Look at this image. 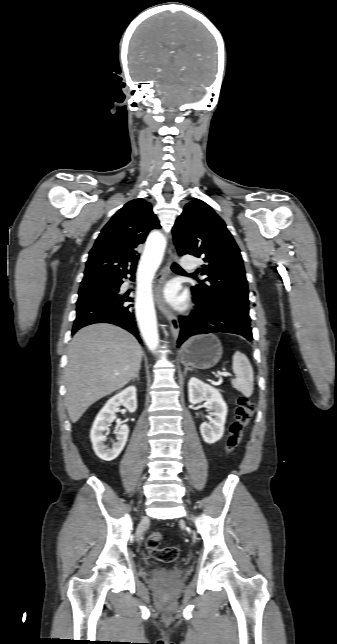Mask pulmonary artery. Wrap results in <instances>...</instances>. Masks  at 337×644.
<instances>
[{
	"instance_id": "e3ab8cb5",
	"label": "pulmonary artery",
	"mask_w": 337,
	"mask_h": 644,
	"mask_svg": "<svg viewBox=\"0 0 337 644\" xmlns=\"http://www.w3.org/2000/svg\"><path fill=\"white\" fill-rule=\"evenodd\" d=\"M181 266L185 270H193L196 267V262L194 257L186 255L181 259Z\"/></svg>"
}]
</instances>
